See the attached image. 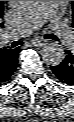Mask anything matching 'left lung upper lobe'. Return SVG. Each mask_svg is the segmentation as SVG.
I'll use <instances>...</instances> for the list:
<instances>
[{"instance_id": "5c2ea615", "label": "left lung upper lobe", "mask_w": 74, "mask_h": 122, "mask_svg": "<svg viewBox=\"0 0 74 122\" xmlns=\"http://www.w3.org/2000/svg\"><path fill=\"white\" fill-rule=\"evenodd\" d=\"M72 10H73V13H72V18H73V23H72V27L74 28V1H72Z\"/></svg>"}]
</instances>
